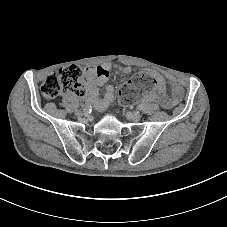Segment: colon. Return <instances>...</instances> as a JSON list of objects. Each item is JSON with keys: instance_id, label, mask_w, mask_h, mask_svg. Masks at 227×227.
Wrapping results in <instances>:
<instances>
[{"instance_id": "obj_1", "label": "colon", "mask_w": 227, "mask_h": 227, "mask_svg": "<svg viewBox=\"0 0 227 227\" xmlns=\"http://www.w3.org/2000/svg\"><path fill=\"white\" fill-rule=\"evenodd\" d=\"M156 88L158 89V85L154 77L148 73H140L121 86L119 97L123 103H132L143 92ZM84 89L82 72L75 65L59 68L53 74L47 76L41 86L42 95L46 99H54L64 90H70L81 95Z\"/></svg>"}]
</instances>
